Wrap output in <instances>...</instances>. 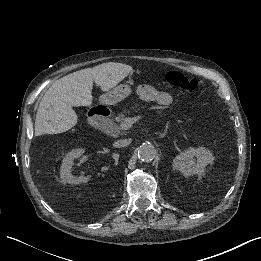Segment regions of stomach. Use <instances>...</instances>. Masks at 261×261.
<instances>
[{"instance_id": "obj_1", "label": "stomach", "mask_w": 261, "mask_h": 261, "mask_svg": "<svg viewBox=\"0 0 261 261\" xmlns=\"http://www.w3.org/2000/svg\"><path fill=\"white\" fill-rule=\"evenodd\" d=\"M129 85L120 84L100 97V101L106 105H115L131 94Z\"/></svg>"}]
</instances>
